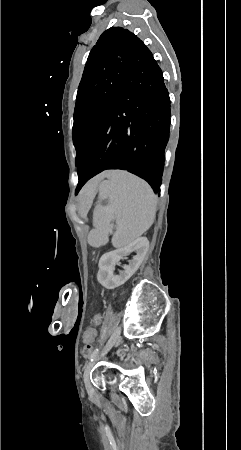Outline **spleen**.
<instances>
[{
	"instance_id": "1",
	"label": "spleen",
	"mask_w": 241,
	"mask_h": 450,
	"mask_svg": "<svg viewBox=\"0 0 241 450\" xmlns=\"http://www.w3.org/2000/svg\"><path fill=\"white\" fill-rule=\"evenodd\" d=\"M107 178L99 186V196L101 200L108 198L109 202L100 204L101 211L108 212L95 214L97 228L90 229L87 239L95 249L108 242L109 234L105 229L110 228L114 220L117 230L112 244L114 248H123L147 232L155 218L156 196L145 180L123 170H113Z\"/></svg>"
}]
</instances>
